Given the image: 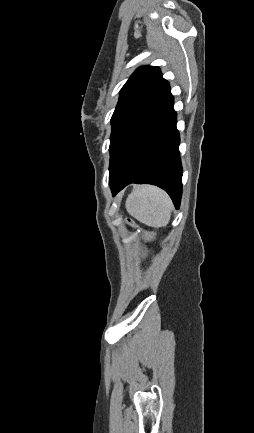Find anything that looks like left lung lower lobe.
Instances as JSON below:
<instances>
[{
    "mask_svg": "<svg viewBox=\"0 0 254 433\" xmlns=\"http://www.w3.org/2000/svg\"><path fill=\"white\" fill-rule=\"evenodd\" d=\"M173 96L144 123L132 140L116 172L109 178L112 195L130 183L153 184L164 189L179 208L182 165Z\"/></svg>",
    "mask_w": 254,
    "mask_h": 433,
    "instance_id": "1",
    "label": "left lung lower lobe"
}]
</instances>
